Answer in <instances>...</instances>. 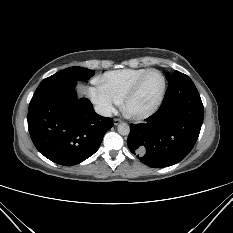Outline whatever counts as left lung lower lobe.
<instances>
[{"instance_id":"0a47b994","label":"left lung lower lobe","mask_w":233,"mask_h":233,"mask_svg":"<svg viewBox=\"0 0 233 233\" xmlns=\"http://www.w3.org/2000/svg\"><path fill=\"white\" fill-rule=\"evenodd\" d=\"M159 110L143 124H131L128 147L150 167L180 162L195 145L203 123L200 95L185 74L176 71Z\"/></svg>"}]
</instances>
